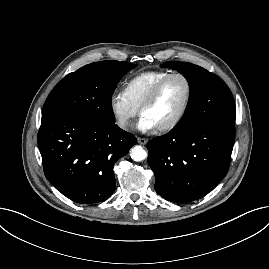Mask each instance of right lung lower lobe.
I'll return each instance as SVG.
<instances>
[{
  "instance_id": "98d812e1",
  "label": "right lung lower lobe",
  "mask_w": 269,
  "mask_h": 269,
  "mask_svg": "<svg viewBox=\"0 0 269 269\" xmlns=\"http://www.w3.org/2000/svg\"><path fill=\"white\" fill-rule=\"evenodd\" d=\"M37 140L46 178L79 204L99 203L112 195L114 164L137 142L115 123L101 125L68 115L42 118Z\"/></svg>"
}]
</instances>
